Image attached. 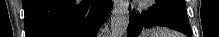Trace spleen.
Wrapping results in <instances>:
<instances>
[{
    "label": "spleen",
    "mask_w": 219,
    "mask_h": 37,
    "mask_svg": "<svg viewBox=\"0 0 219 37\" xmlns=\"http://www.w3.org/2000/svg\"><path fill=\"white\" fill-rule=\"evenodd\" d=\"M151 37H182L178 33H173L167 29H152Z\"/></svg>",
    "instance_id": "spleen-1"
}]
</instances>
